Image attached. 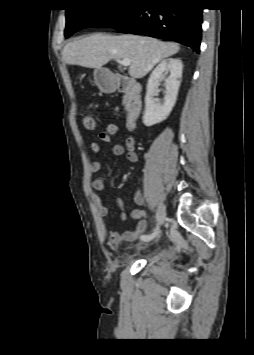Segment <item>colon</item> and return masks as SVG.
Returning <instances> with one entry per match:
<instances>
[{
	"instance_id": "5ec220e1",
	"label": "colon",
	"mask_w": 254,
	"mask_h": 355,
	"mask_svg": "<svg viewBox=\"0 0 254 355\" xmlns=\"http://www.w3.org/2000/svg\"><path fill=\"white\" fill-rule=\"evenodd\" d=\"M82 126L86 131L93 132L97 129L98 124L92 115H84L82 117Z\"/></svg>"
}]
</instances>
